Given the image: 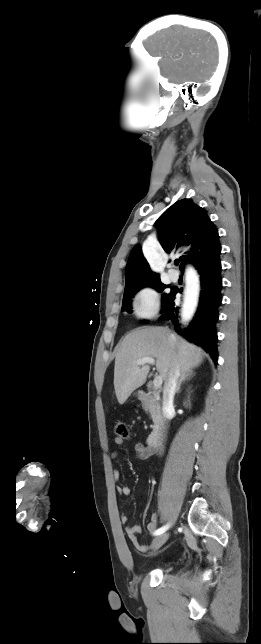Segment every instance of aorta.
<instances>
[{"mask_svg":"<svg viewBox=\"0 0 261 644\" xmlns=\"http://www.w3.org/2000/svg\"><path fill=\"white\" fill-rule=\"evenodd\" d=\"M198 278L192 268L186 270L185 296L182 306L181 315L184 320H188L193 314L198 299Z\"/></svg>","mask_w":261,"mask_h":644,"instance_id":"aorta-1","label":"aorta"}]
</instances>
